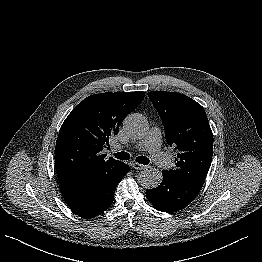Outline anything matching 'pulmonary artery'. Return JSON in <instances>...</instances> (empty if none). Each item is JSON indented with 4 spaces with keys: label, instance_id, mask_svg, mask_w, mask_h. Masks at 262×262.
Wrapping results in <instances>:
<instances>
[{
    "label": "pulmonary artery",
    "instance_id": "pulmonary-artery-1",
    "mask_svg": "<svg viewBox=\"0 0 262 262\" xmlns=\"http://www.w3.org/2000/svg\"><path fill=\"white\" fill-rule=\"evenodd\" d=\"M161 144V133L157 127H153L147 136L136 143L133 148L137 150H147L151 154L153 160L158 164L162 165L166 163L167 156L160 150ZM114 150L121 149L120 145H115Z\"/></svg>",
    "mask_w": 262,
    "mask_h": 262
}]
</instances>
